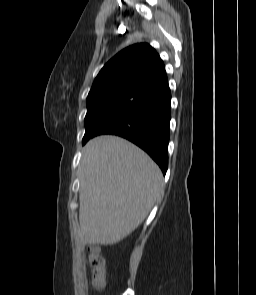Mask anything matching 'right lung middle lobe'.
Here are the masks:
<instances>
[{"instance_id":"right-lung-middle-lobe-1","label":"right lung middle lobe","mask_w":256,"mask_h":295,"mask_svg":"<svg viewBox=\"0 0 256 295\" xmlns=\"http://www.w3.org/2000/svg\"><path fill=\"white\" fill-rule=\"evenodd\" d=\"M136 96H120L87 106L85 117L86 132L84 138L97 133L102 126L122 111Z\"/></svg>"}]
</instances>
